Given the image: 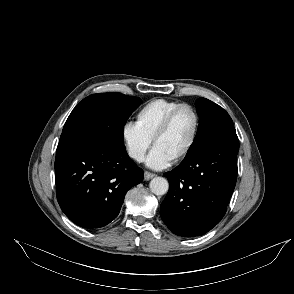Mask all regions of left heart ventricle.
Instances as JSON below:
<instances>
[{
  "label": "left heart ventricle",
  "instance_id": "left-heart-ventricle-1",
  "mask_svg": "<svg viewBox=\"0 0 294 294\" xmlns=\"http://www.w3.org/2000/svg\"><path fill=\"white\" fill-rule=\"evenodd\" d=\"M193 129L194 117L189 110L183 109L177 114L169 130L156 141L155 146L175 159L186 148Z\"/></svg>",
  "mask_w": 294,
  "mask_h": 294
}]
</instances>
